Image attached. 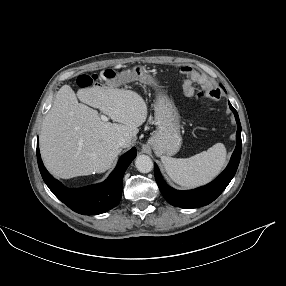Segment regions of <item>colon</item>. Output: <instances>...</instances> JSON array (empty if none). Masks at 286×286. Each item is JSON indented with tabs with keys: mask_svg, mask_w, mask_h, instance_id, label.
<instances>
[{
	"mask_svg": "<svg viewBox=\"0 0 286 286\" xmlns=\"http://www.w3.org/2000/svg\"><path fill=\"white\" fill-rule=\"evenodd\" d=\"M116 75V72L112 68L105 69L102 73L82 74L78 77L77 83L80 88H88L93 84L99 82L102 78L111 79ZM198 99H208V94L199 92L197 94Z\"/></svg>",
	"mask_w": 286,
	"mask_h": 286,
	"instance_id": "1",
	"label": "colon"
}]
</instances>
